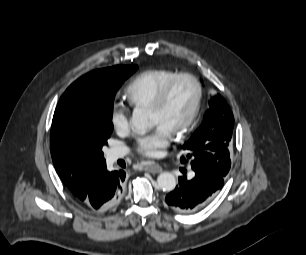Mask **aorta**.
I'll return each instance as SVG.
<instances>
[{"instance_id":"762f6f07","label":"aorta","mask_w":306,"mask_h":255,"mask_svg":"<svg viewBox=\"0 0 306 255\" xmlns=\"http://www.w3.org/2000/svg\"><path fill=\"white\" fill-rule=\"evenodd\" d=\"M132 129L137 133H145L147 129L151 126V121L148 112L145 110L136 108L133 111L131 118ZM176 178L170 172H162L157 177L158 188L170 192L176 187Z\"/></svg>"}]
</instances>
